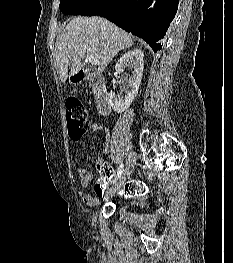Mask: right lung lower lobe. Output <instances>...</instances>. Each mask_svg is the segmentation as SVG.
Masks as SVG:
<instances>
[{"label": "right lung lower lobe", "instance_id": "obj_1", "mask_svg": "<svg viewBox=\"0 0 233 263\" xmlns=\"http://www.w3.org/2000/svg\"><path fill=\"white\" fill-rule=\"evenodd\" d=\"M179 0H101L87 16L106 17L122 29L143 38L154 52L175 17Z\"/></svg>", "mask_w": 233, "mask_h": 263}]
</instances>
